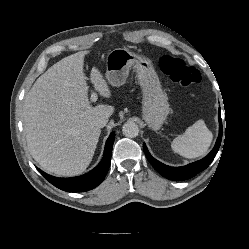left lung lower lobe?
Returning <instances> with one entry per match:
<instances>
[{"label":"left lung lower lobe","mask_w":249,"mask_h":249,"mask_svg":"<svg viewBox=\"0 0 249 249\" xmlns=\"http://www.w3.org/2000/svg\"><path fill=\"white\" fill-rule=\"evenodd\" d=\"M218 118H219V136L212 151L203 159L183 167H170L154 159L148 152L146 145L143 144V150L145 152L147 159L162 176L170 180L181 181L195 176L196 174L203 171L210 165V163L213 161L219 150L222 140V121L220 115V108H219Z\"/></svg>","instance_id":"obj_1"}]
</instances>
